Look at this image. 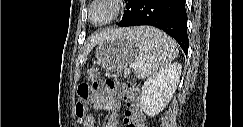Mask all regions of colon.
<instances>
[{
    "label": "colon",
    "instance_id": "5ec220e1",
    "mask_svg": "<svg viewBox=\"0 0 243 127\" xmlns=\"http://www.w3.org/2000/svg\"><path fill=\"white\" fill-rule=\"evenodd\" d=\"M78 101L75 105V114L79 121L85 116L88 106L98 99L112 97L125 103L126 110L123 116V126L144 127V117L139 107L138 95L130 83H123L114 78H108L104 85L80 84L77 87Z\"/></svg>",
    "mask_w": 243,
    "mask_h": 127
}]
</instances>
